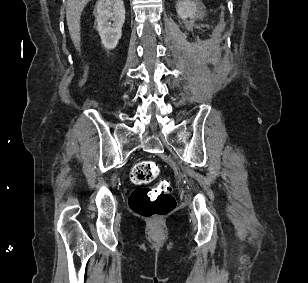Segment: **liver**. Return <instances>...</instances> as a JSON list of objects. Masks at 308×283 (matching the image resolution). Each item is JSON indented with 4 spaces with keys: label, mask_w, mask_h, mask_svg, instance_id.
Here are the masks:
<instances>
[{
    "label": "liver",
    "mask_w": 308,
    "mask_h": 283,
    "mask_svg": "<svg viewBox=\"0 0 308 283\" xmlns=\"http://www.w3.org/2000/svg\"><path fill=\"white\" fill-rule=\"evenodd\" d=\"M91 0H67L66 19L70 37L77 49L80 47V18L86 4Z\"/></svg>",
    "instance_id": "liver-1"
}]
</instances>
